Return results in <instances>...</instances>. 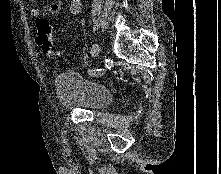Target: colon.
<instances>
[{
    "label": "colon",
    "instance_id": "obj_1",
    "mask_svg": "<svg viewBox=\"0 0 221 174\" xmlns=\"http://www.w3.org/2000/svg\"><path fill=\"white\" fill-rule=\"evenodd\" d=\"M37 34L36 42L39 48L47 57H55L58 52L53 41L52 26L45 19H38L36 22Z\"/></svg>",
    "mask_w": 221,
    "mask_h": 174
}]
</instances>
